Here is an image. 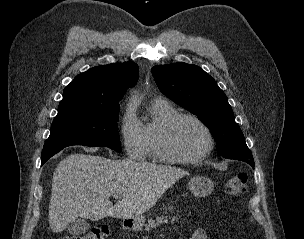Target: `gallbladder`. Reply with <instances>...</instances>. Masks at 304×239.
<instances>
[{"mask_svg": "<svg viewBox=\"0 0 304 239\" xmlns=\"http://www.w3.org/2000/svg\"><path fill=\"white\" fill-rule=\"evenodd\" d=\"M89 228V223L83 218H77L71 221L67 226V231L74 236L84 234Z\"/></svg>", "mask_w": 304, "mask_h": 239, "instance_id": "bac80fb5", "label": "gallbladder"}]
</instances>
